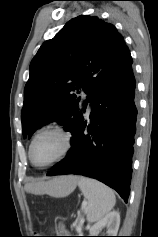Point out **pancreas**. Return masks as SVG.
<instances>
[{
    "instance_id": "pancreas-1",
    "label": "pancreas",
    "mask_w": 158,
    "mask_h": 237,
    "mask_svg": "<svg viewBox=\"0 0 158 237\" xmlns=\"http://www.w3.org/2000/svg\"><path fill=\"white\" fill-rule=\"evenodd\" d=\"M76 225V231L78 232V233H81V228L79 227V224L77 225V224H75ZM81 226V225H80Z\"/></svg>"
}]
</instances>
